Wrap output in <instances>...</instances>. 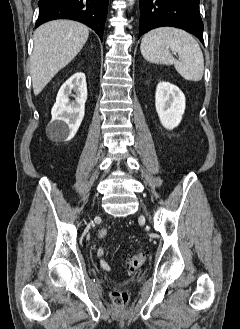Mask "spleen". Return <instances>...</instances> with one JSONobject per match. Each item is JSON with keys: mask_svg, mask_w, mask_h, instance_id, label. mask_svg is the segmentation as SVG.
<instances>
[{"mask_svg": "<svg viewBox=\"0 0 240 329\" xmlns=\"http://www.w3.org/2000/svg\"><path fill=\"white\" fill-rule=\"evenodd\" d=\"M169 49L178 54L179 60ZM140 50L151 63L174 64L177 72L188 81L198 82L203 77V53L194 37L186 31L173 27L153 29L143 36Z\"/></svg>", "mask_w": 240, "mask_h": 329, "instance_id": "obj_1", "label": "spleen"}]
</instances>
